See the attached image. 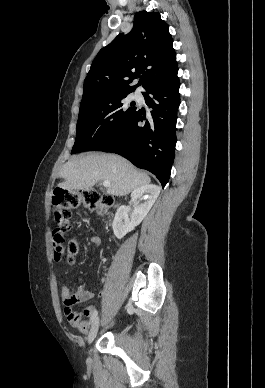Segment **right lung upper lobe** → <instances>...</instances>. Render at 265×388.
Segmentation results:
<instances>
[{
	"mask_svg": "<svg viewBox=\"0 0 265 388\" xmlns=\"http://www.w3.org/2000/svg\"><path fill=\"white\" fill-rule=\"evenodd\" d=\"M168 25L157 12H137L132 30L102 48L84 81L83 98L105 90L132 92L178 72ZM142 74L135 86L130 83Z\"/></svg>",
	"mask_w": 265,
	"mask_h": 388,
	"instance_id": "cb5924a9",
	"label": "right lung upper lobe"
}]
</instances>
